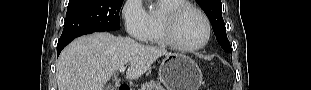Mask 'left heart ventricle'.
Instances as JSON below:
<instances>
[{
    "label": "left heart ventricle",
    "instance_id": "left-heart-ventricle-1",
    "mask_svg": "<svg viewBox=\"0 0 311 90\" xmlns=\"http://www.w3.org/2000/svg\"><path fill=\"white\" fill-rule=\"evenodd\" d=\"M176 37L185 46L200 43L205 35L206 28L203 19L194 11H186L176 26Z\"/></svg>",
    "mask_w": 311,
    "mask_h": 90
}]
</instances>
